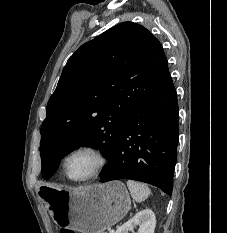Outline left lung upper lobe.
Wrapping results in <instances>:
<instances>
[{"label":"left lung upper lobe","mask_w":227,"mask_h":233,"mask_svg":"<svg viewBox=\"0 0 227 233\" xmlns=\"http://www.w3.org/2000/svg\"><path fill=\"white\" fill-rule=\"evenodd\" d=\"M169 77L160 42L141 25L120 23L82 45L67 61L41 127L42 176L81 145L101 149L109 167L133 110Z\"/></svg>","instance_id":"left-lung-upper-lobe-1"}]
</instances>
